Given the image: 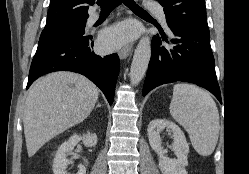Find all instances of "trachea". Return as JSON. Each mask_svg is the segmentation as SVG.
Returning a JSON list of instances; mask_svg holds the SVG:
<instances>
[{
    "label": "trachea",
    "mask_w": 249,
    "mask_h": 174,
    "mask_svg": "<svg viewBox=\"0 0 249 174\" xmlns=\"http://www.w3.org/2000/svg\"><path fill=\"white\" fill-rule=\"evenodd\" d=\"M122 3L135 13L149 15V13L137 5L134 0H97V4L101 7V10H112Z\"/></svg>",
    "instance_id": "3493384b"
}]
</instances>
